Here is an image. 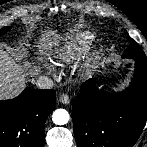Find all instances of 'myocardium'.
Segmentation results:
<instances>
[{
	"label": "myocardium",
	"mask_w": 147,
	"mask_h": 147,
	"mask_svg": "<svg viewBox=\"0 0 147 147\" xmlns=\"http://www.w3.org/2000/svg\"><path fill=\"white\" fill-rule=\"evenodd\" d=\"M101 58H102L101 52L97 51L93 53L86 63V71L88 73L94 71L100 64Z\"/></svg>",
	"instance_id": "myocardium-1"
}]
</instances>
